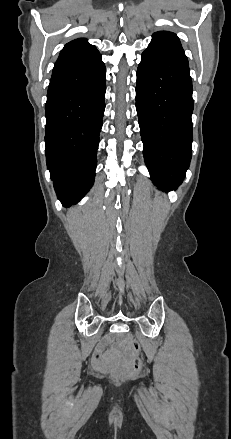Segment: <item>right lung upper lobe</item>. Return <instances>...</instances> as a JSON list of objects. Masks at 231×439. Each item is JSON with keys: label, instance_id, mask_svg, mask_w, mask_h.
<instances>
[{"label": "right lung upper lobe", "instance_id": "1", "mask_svg": "<svg viewBox=\"0 0 231 439\" xmlns=\"http://www.w3.org/2000/svg\"><path fill=\"white\" fill-rule=\"evenodd\" d=\"M99 51L85 38H78L67 43L56 61L52 76L64 74L86 66L98 58Z\"/></svg>", "mask_w": 231, "mask_h": 439}]
</instances>
